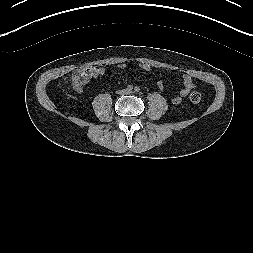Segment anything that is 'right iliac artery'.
I'll use <instances>...</instances> for the list:
<instances>
[{
    "label": "right iliac artery",
    "mask_w": 253,
    "mask_h": 253,
    "mask_svg": "<svg viewBox=\"0 0 253 253\" xmlns=\"http://www.w3.org/2000/svg\"><path fill=\"white\" fill-rule=\"evenodd\" d=\"M132 88H133V87H132L131 85H129V86H128V89H130V90H131Z\"/></svg>",
    "instance_id": "obj_1"
}]
</instances>
